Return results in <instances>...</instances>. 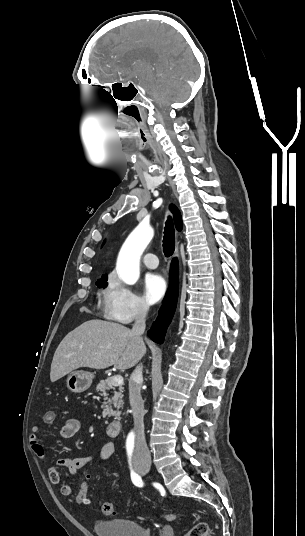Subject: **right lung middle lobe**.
Instances as JSON below:
<instances>
[{
  "label": "right lung middle lobe",
  "instance_id": "dd1d6c3e",
  "mask_svg": "<svg viewBox=\"0 0 305 536\" xmlns=\"http://www.w3.org/2000/svg\"><path fill=\"white\" fill-rule=\"evenodd\" d=\"M107 277H103L102 279L97 280L96 285L100 287H106L107 286Z\"/></svg>",
  "mask_w": 305,
  "mask_h": 536
}]
</instances>
